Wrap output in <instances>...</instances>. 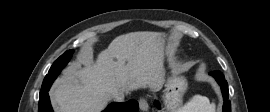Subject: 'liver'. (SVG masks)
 <instances>
[{
    "label": "liver",
    "instance_id": "obj_1",
    "mask_svg": "<svg viewBox=\"0 0 270 112\" xmlns=\"http://www.w3.org/2000/svg\"><path fill=\"white\" fill-rule=\"evenodd\" d=\"M161 33L131 32L116 37L96 61L92 52L53 86L50 96L58 112H101L117 92L159 90Z\"/></svg>",
    "mask_w": 270,
    "mask_h": 112
}]
</instances>
